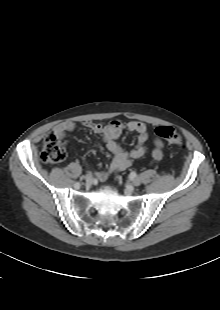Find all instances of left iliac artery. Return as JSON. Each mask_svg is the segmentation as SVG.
Instances as JSON below:
<instances>
[{
	"instance_id": "1",
	"label": "left iliac artery",
	"mask_w": 220,
	"mask_h": 310,
	"mask_svg": "<svg viewBox=\"0 0 220 310\" xmlns=\"http://www.w3.org/2000/svg\"><path fill=\"white\" fill-rule=\"evenodd\" d=\"M136 176H137L136 172L133 171V172L130 173L129 178L132 180V179H134Z\"/></svg>"
}]
</instances>
